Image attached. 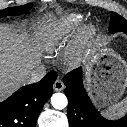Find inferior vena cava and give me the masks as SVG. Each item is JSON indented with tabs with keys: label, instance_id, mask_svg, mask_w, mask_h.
<instances>
[{
	"label": "inferior vena cava",
	"instance_id": "1",
	"mask_svg": "<svg viewBox=\"0 0 127 127\" xmlns=\"http://www.w3.org/2000/svg\"><path fill=\"white\" fill-rule=\"evenodd\" d=\"M46 75V68L44 65H39L33 69L29 75V83H36Z\"/></svg>",
	"mask_w": 127,
	"mask_h": 127
}]
</instances>
